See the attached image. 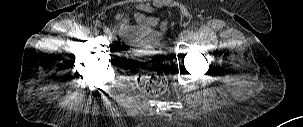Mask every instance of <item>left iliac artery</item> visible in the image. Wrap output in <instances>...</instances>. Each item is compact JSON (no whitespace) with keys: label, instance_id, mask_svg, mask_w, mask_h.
<instances>
[{"label":"left iliac artery","instance_id":"left-iliac-artery-1","mask_svg":"<svg viewBox=\"0 0 303 127\" xmlns=\"http://www.w3.org/2000/svg\"><path fill=\"white\" fill-rule=\"evenodd\" d=\"M185 34H186V37L191 38L193 36V31L192 30H186Z\"/></svg>","mask_w":303,"mask_h":127}]
</instances>
